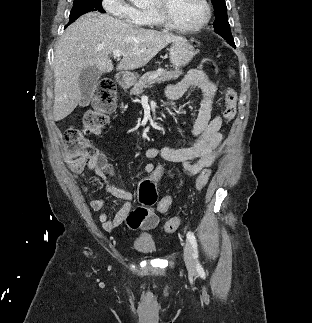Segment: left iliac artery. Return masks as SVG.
<instances>
[{
  "instance_id": "1",
  "label": "left iliac artery",
  "mask_w": 312,
  "mask_h": 323,
  "mask_svg": "<svg viewBox=\"0 0 312 323\" xmlns=\"http://www.w3.org/2000/svg\"><path fill=\"white\" fill-rule=\"evenodd\" d=\"M187 238L188 240L190 241L193 249H194V256L195 257H198V250H197V241H196V238H195V235L193 232L189 231L187 233Z\"/></svg>"
}]
</instances>
